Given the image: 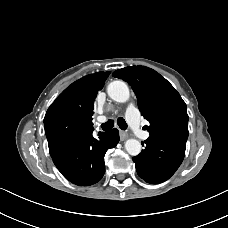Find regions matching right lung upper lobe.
<instances>
[{
  "label": "right lung upper lobe",
  "instance_id": "cb5924a9",
  "mask_svg": "<svg viewBox=\"0 0 228 228\" xmlns=\"http://www.w3.org/2000/svg\"><path fill=\"white\" fill-rule=\"evenodd\" d=\"M110 72H97L82 77L67 87L48 108L45 119L61 114L76 117L83 131H93L94 101Z\"/></svg>",
  "mask_w": 228,
  "mask_h": 228
}]
</instances>
